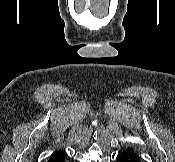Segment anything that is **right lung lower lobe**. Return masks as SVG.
<instances>
[{
  "instance_id": "obj_1",
  "label": "right lung lower lobe",
  "mask_w": 175,
  "mask_h": 162,
  "mask_svg": "<svg viewBox=\"0 0 175 162\" xmlns=\"http://www.w3.org/2000/svg\"><path fill=\"white\" fill-rule=\"evenodd\" d=\"M65 157H66L65 152L57 151L50 156L48 162H65Z\"/></svg>"
}]
</instances>
